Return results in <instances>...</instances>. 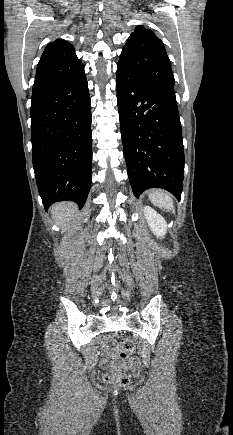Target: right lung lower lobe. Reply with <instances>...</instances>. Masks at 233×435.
Instances as JSON below:
<instances>
[{
  "mask_svg": "<svg viewBox=\"0 0 233 435\" xmlns=\"http://www.w3.org/2000/svg\"><path fill=\"white\" fill-rule=\"evenodd\" d=\"M32 158L45 208L86 202L92 181L91 106L85 73L32 99Z\"/></svg>",
  "mask_w": 233,
  "mask_h": 435,
  "instance_id": "98d812e1",
  "label": "right lung lower lobe"
}]
</instances>
